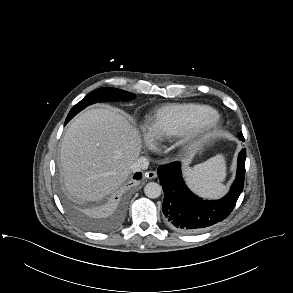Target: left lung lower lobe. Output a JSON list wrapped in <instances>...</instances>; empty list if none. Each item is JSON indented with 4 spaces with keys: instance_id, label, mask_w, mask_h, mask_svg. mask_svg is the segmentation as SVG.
Instances as JSON below:
<instances>
[{
    "instance_id": "obj_1",
    "label": "left lung lower lobe",
    "mask_w": 293,
    "mask_h": 293,
    "mask_svg": "<svg viewBox=\"0 0 293 293\" xmlns=\"http://www.w3.org/2000/svg\"><path fill=\"white\" fill-rule=\"evenodd\" d=\"M245 159L246 150L243 149L238 155L236 178L230 191L223 198L210 201L188 189L181 175L180 162L161 165L158 176L164 191L162 210L168 224L182 233H196L227 218L244 187Z\"/></svg>"
}]
</instances>
